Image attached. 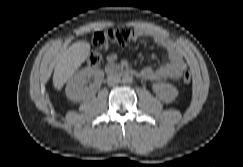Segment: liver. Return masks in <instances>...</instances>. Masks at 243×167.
Wrapping results in <instances>:
<instances>
[{"mask_svg": "<svg viewBox=\"0 0 243 167\" xmlns=\"http://www.w3.org/2000/svg\"><path fill=\"white\" fill-rule=\"evenodd\" d=\"M89 54L90 44L85 41L73 43L61 54L53 74V86L56 90H61Z\"/></svg>", "mask_w": 243, "mask_h": 167, "instance_id": "1", "label": "liver"}]
</instances>
